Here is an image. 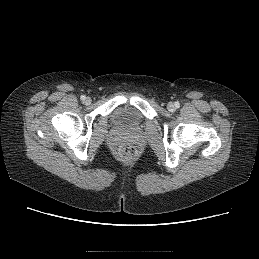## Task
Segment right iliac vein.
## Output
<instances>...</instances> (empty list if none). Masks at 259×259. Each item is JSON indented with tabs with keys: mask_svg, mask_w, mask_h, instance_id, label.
Masks as SVG:
<instances>
[{
	"mask_svg": "<svg viewBox=\"0 0 259 259\" xmlns=\"http://www.w3.org/2000/svg\"><path fill=\"white\" fill-rule=\"evenodd\" d=\"M85 103H86L87 105H89V104L91 103V98H89V97L86 98V99H85Z\"/></svg>",
	"mask_w": 259,
	"mask_h": 259,
	"instance_id": "1",
	"label": "right iliac vein"
}]
</instances>
